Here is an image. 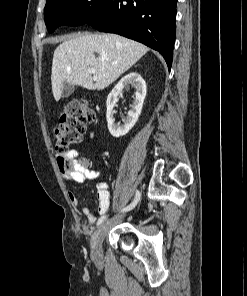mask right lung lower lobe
<instances>
[{"label":"right lung lower lobe","instance_id":"1","mask_svg":"<svg viewBox=\"0 0 247 296\" xmlns=\"http://www.w3.org/2000/svg\"><path fill=\"white\" fill-rule=\"evenodd\" d=\"M177 0H107L88 24L101 32L116 33L157 50L170 70L175 42Z\"/></svg>","mask_w":247,"mask_h":296}]
</instances>
